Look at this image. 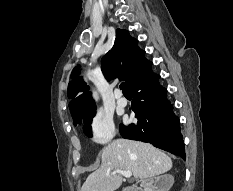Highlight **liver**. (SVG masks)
<instances>
[{
  "label": "liver",
  "instance_id": "1",
  "mask_svg": "<svg viewBox=\"0 0 233 191\" xmlns=\"http://www.w3.org/2000/svg\"><path fill=\"white\" fill-rule=\"evenodd\" d=\"M102 163L91 173L80 191H115L122 184L115 170L131 171L135 178L147 179L169 171L171 158L150 144L116 139L103 148Z\"/></svg>",
  "mask_w": 233,
  "mask_h": 191
}]
</instances>
